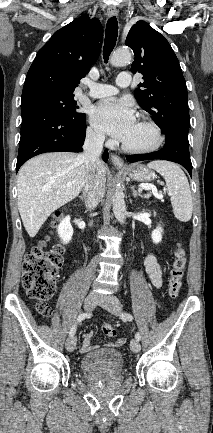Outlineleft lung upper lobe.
Returning a JSON list of instances; mask_svg holds the SVG:
<instances>
[{
    "label": "left lung upper lobe",
    "instance_id": "obj_1",
    "mask_svg": "<svg viewBox=\"0 0 213 433\" xmlns=\"http://www.w3.org/2000/svg\"><path fill=\"white\" fill-rule=\"evenodd\" d=\"M126 45L135 54L131 70L143 74L134 95L139 105L166 134L188 138L189 111L185 79L179 61L165 37L145 21L130 29Z\"/></svg>",
    "mask_w": 213,
    "mask_h": 433
}]
</instances>
